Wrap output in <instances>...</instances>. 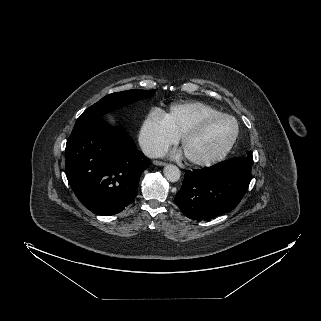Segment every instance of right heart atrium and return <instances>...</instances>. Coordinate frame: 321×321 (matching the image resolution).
Listing matches in <instances>:
<instances>
[{"label":"right heart atrium","mask_w":321,"mask_h":321,"mask_svg":"<svg viewBox=\"0 0 321 321\" xmlns=\"http://www.w3.org/2000/svg\"><path fill=\"white\" fill-rule=\"evenodd\" d=\"M177 141L166 127L161 111L150 112L142 122L139 131V143L149 156H156L167 150Z\"/></svg>","instance_id":"obj_1"}]
</instances>
